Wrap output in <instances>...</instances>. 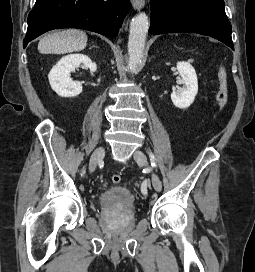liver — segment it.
I'll return each instance as SVG.
<instances>
[{"label":"liver","mask_w":255,"mask_h":272,"mask_svg":"<svg viewBox=\"0 0 255 272\" xmlns=\"http://www.w3.org/2000/svg\"><path fill=\"white\" fill-rule=\"evenodd\" d=\"M87 40V35L80 30L58 31L40 39L38 51L42 54H64L81 51L86 47Z\"/></svg>","instance_id":"1"}]
</instances>
